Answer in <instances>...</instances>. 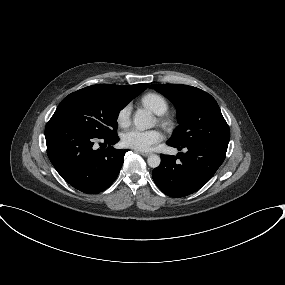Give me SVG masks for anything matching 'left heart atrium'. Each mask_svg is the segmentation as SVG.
<instances>
[{
    "label": "left heart atrium",
    "instance_id": "obj_1",
    "mask_svg": "<svg viewBox=\"0 0 285 285\" xmlns=\"http://www.w3.org/2000/svg\"><path fill=\"white\" fill-rule=\"evenodd\" d=\"M163 135L159 130H141L137 128L126 131L122 143L138 151H148L161 142Z\"/></svg>",
    "mask_w": 285,
    "mask_h": 285
}]
</instances>
